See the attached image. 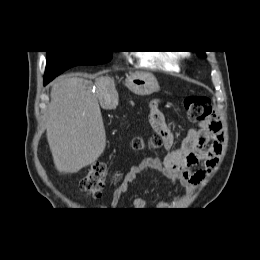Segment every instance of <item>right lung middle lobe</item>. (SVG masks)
<instances>
[{
  "mask_svg": "<svg viewBox=\"0 0 260 260\" xmlns=\"http://www.w3.org/2000/svg\"><path fill=\"white\" fill-rule=\"evenodd\" d=\"M111 57L112 51H47L44 79L51 81L73 66L103 64Z\"/></svg>",
  "mask_w": 260,
  "mask_h": 260,
  "instance_id": "right-lung-middle-lobe-1",
  "label": "right lung middle lobe"
}]
</instances>
